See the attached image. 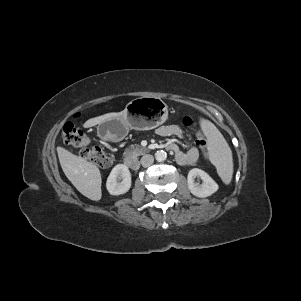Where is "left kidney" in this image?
I'll return each mask as SVG.
<instances>
[{
    "instance_id": "obj_1",
    "label": "left kidney",
    "mask_w": 301,
    "mask_h": 301,
    "mask_svg": "<svg viewBox=\"0 0 301 301\" xmlns=\"http://www.w3.org/2000/svg\"><path fill=\"white\" fill-rule=\"evenodd\" d=\"M199 177L203 183L197 185L194 183V178ZM188 189L190 192L199 198L211 196L218 190V184L203 170L193 168L189 171L188 176Z\"/></svg>"
}]
</instances>
